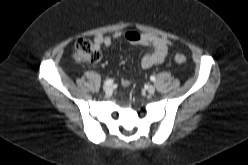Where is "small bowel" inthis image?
Returning a JSON list of instances; mask_svg holds the SVG:
<instances>
[{
  "label": "small bowel",
  "instance_id": "obj_1",
  "mask_svg": "<svg viewBox=\"0 0 248 165\" xmlns=\"http://www.w3.org/2000/svg\"><path fill=\"white\" fill-rule=\"evenodd\" d=\"M119 39H125L133 45L144 48L140 62L142 68H149L162 63L171 46V43L163 37L134 31H117L111 35H97L93 38V43L97 49L107 48ZM122 85L128 87L131 85V81L123 80Z\"/></svg>",
  "mask_w": 248,
  "mask_h": 165
}]
</instances>
